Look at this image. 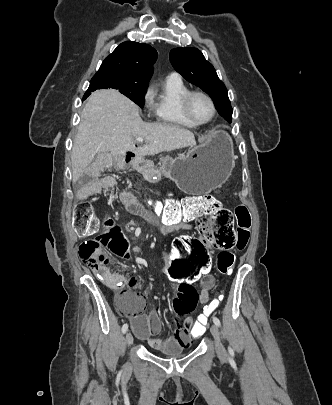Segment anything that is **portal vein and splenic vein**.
<instances>
[{
	"instance_id": "portal-vein-and-splenic-vein-1",
	"label": "portal vein and splenic vein",
	"mask_w": 332,
	"mask_h": 405,
	"mask_svg": "<svg viewBox=\"0 0 332 405\" xmlns=\"http://www.w3.org/2000/svg\"><path fill=\"white\" fill-rule=\"evenodd\" d=\"M136 141H137V142H144V139L141 138V137H138V138H136Z\"/></svg>"
}]
</instances>
